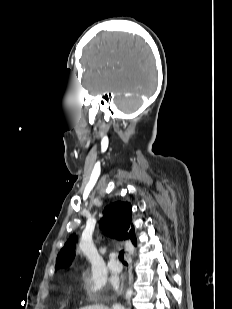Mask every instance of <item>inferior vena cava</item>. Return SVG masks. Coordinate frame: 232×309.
Returning <instances> with one entry per match:
<instances>
[{
	"mask_svg": "<svg viewBox=\"0 0 232 309\" xmlns=\"http://www.w3.org/2000/svg\"><path fill=\"white\" fill-rule=\"evenodd\" d=\"M114 309H123V308H121V307H115Z\"/></svg>",
	"mask_w": 232,
	"mask_h": 309,
	"instance_id": "obj_1",
	"label": "inferior vena cava"
}]
</instances>
